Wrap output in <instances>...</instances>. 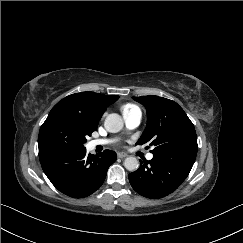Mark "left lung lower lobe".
Listing matches in <instances>:
<instances>
[{"instance_id": "obj_1", "label": "left lung lower lobe", "mask_w": 243, "mask_h": 243, "mask_svg": "<svg viewBox=\"0 0 243 243\" xmlns=\"http://www.w3.org/2000/svg\"><path fill=\"white\" fill-rule=\"evenodd\" d=\"M152 160L129 174L133 189L147 198H162L175 191L188 176L197 154L196 143H184L153 153Z\"/></svg>"}]
</instances>
